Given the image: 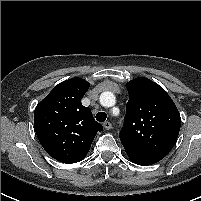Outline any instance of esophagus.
I'll list each match as a JSON object with an SVG mask.
<instances>
[{
  "instance_id": "esophagus-1",
  "label": "esophagus",
  "mask_w": 201,
  "mask_h": 201,
  "mask_svg": "<svg viewBox=\"0 0 201 201\" xmlns=\"http://www.w3.org/2000/svg\"><path fill=\"white\" fill-rule=\"evenodd\" d=\"M103 127L106 129V130H110L112 128V124L110 122H104L103 123Z\"/></svg>"
}]
</instances>
